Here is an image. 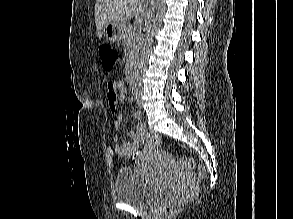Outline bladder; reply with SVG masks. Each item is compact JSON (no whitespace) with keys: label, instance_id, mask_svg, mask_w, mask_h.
Here are the masks:
<instances>
[{"label":"bladder","instance_id":"1","mask_svg":"<svg viewBox=\"0 0 293 219\" xmlns=\"http://www.w3.org/2000/svg\"><path fill=\"white\" fill-rule=\"evenodd\" d=\"M167 189V185L151 182L129 167L122 168L115 181L117 201L136 209H148L160 203Z\"/></svg>","mask_w":293,"mask_h":219}]
</instances>
